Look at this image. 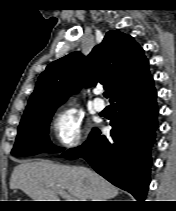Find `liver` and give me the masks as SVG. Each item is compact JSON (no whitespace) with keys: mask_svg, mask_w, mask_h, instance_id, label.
<instances>
[{"mask_svg":"<svg viewBox=\"0 0 176 211\" xmlns=\"http://www.w3.org/2000/svg\"><path fill=\"white\" fill-rule=\"evenodd\" d=\"M10 188L22 190L33 201H60L57 190H67L78 201H108L119 191L89 168L53 164L47 160L17 165L11 175Z\"/></svg>","mask_w":176,"mask_h":211,"instance_id":"1","label":"liver"}]
</instances>
